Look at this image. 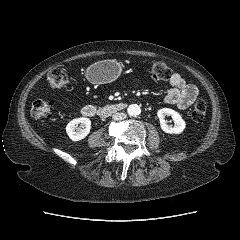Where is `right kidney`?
Wrapping results in <instances>:
<instances>
[{"label":"right kidney","instance_id":"ca27d5eb","mask_svg":"<svg viewBox=\"0 0 240 240\" xmlns=\"http://www.w3.org/2000/svg\"><path fill=\"white\" fill-rule=\"evenodd\" d=\"M80 125V127H78ZM91 121L89 118L81 117L73 119L66 126V132L72 141L84 139L90 132Z\"/></svg>","mask_w":240,"mask_h":240}]
</instances>
